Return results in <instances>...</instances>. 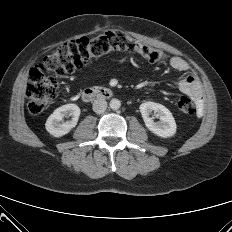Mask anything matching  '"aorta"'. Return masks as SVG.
Segmentation results:
<instances>
[{"instance_id":"762f6f07","label":"aorta","mask_w":232,"mask_h":232,"mask_svg":"<svg viewBox=\"0 0 232 232\" xmlns=\"http://www.w3.org/2000/svg\"><path fill=\"white\" fill-rule=\"evenodd\" d=\"M109 106L112 110H118L121 106V102H120V100L113 98V99H111Z\"/></svg>"}]
</instances>
